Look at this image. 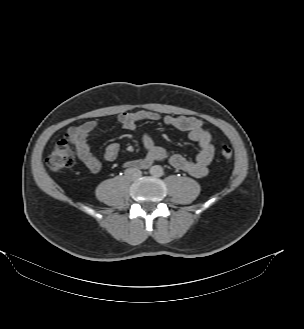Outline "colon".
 I'll use <instances>...</instances> for the list:
<instances>
[{
    "mask_svg": "<svg viewBox=\"0 0 304 329\" xmlns=\"http://www.w3.org/2000/svg\"><path fill=\"white\" fill-rule=\"evenodd\" d=\"M220 156L228 160L232 157V149L223 144L219 148ZM75 161V151L72 146L71 136L67 135L57 142L47 158V165L52 171H61L70 168Z\"/></svg>",
    "mask_w": 304,
    "mask_h": 329,
    "instance_id": "5ec220e1",
    "label": "colon"
}]
</instances>
